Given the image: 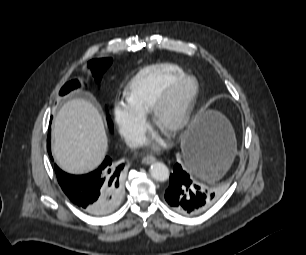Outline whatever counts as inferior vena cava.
<instances>
[{"label": "inferior vena cava", "mask_w": 306, "mask_h": 255, "mask_svg": "<svg viewBox=\"0 0 306 255\" xmlns=\"http://www.w3.org/2000/svg\"><path fill=\"white\" fill-rule=\"evenodd\" d=\"M128 142L132 147H140L146 143V138L142 135L134 134L129 136Z\"/></svg>", "instance_id": "inferior-vena-cava-1"}]
</instances>
